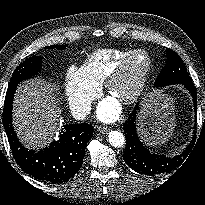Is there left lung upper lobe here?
<instances>
[{
	"instance_id": "5c2ea615",
	"label": "left lung upper lobe",
	"mask_w": 205,
	"mask_h": 205,
	"mask_svg": "<svg viewBox=\"0 0 205 205\" xmlns=\"http://www.w3.org/2000/svg\"><path fill=\"white\" fill-rule=\"evenodd\" d=\"M167 61L154 82L155 87L191 82L187 69L176 52L167 48Z\"/></svg>"
}]
</instances>
